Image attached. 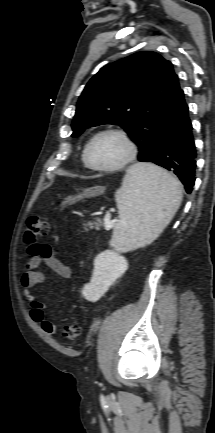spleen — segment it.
<instances>
[{
  "mask_svg": "<svg viewBox=\"0 0 215 433\" xmlns=\"http://www.w3.org/2000/svg\"><path fill=\"white\" fill-rule=\"evenodd\" d=\"M119 220L110 245L129 251L152 243L170 223L182 201L181 184L150 163L131 166L115 193Z\"/></svg>",
  "mask_w": 215,
  "mask_h": 433,
  "instance_id": "3e777b00",
  "label": "spleen"
}]
</instances>
